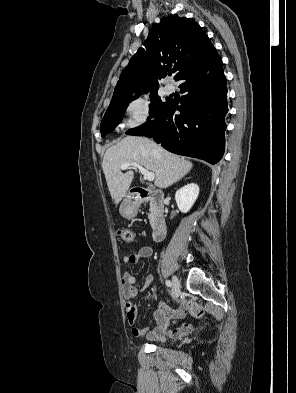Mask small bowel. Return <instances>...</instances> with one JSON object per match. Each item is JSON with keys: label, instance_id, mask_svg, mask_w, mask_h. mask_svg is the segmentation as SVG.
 <instances>
[{"label": "small bowel", "instance_id": "obj_1", "mask_svg": "<svg viewBox=\"0 0 296 393\" xmlns=\"http://www.w3.org/2000/svg\"><path fill=\"white\" fill-rule=\"evenodd\" d=\"M153 252L154 248L148 245L124 257L125 269L122 276V285L127 319L133 335L136 337L146 336L150 341H163L167 337H179L188 334L192 330V325L182 323L173 326V324H177L187 314L188 304L184 300H180L178 307L175 309L170 308L164 302L159 303L158 308L154 312L156 326L153 328H141L137 326V305L133 302V299L139 292H144L151 288L153 277L151 275L147 276L144 284L138 287L136 286V279L130 274L128 267L129 265L137 264L144 258L152 256Z\"/></svg>", "mask_w": 296, "mask_h": 393}]
</instances>
